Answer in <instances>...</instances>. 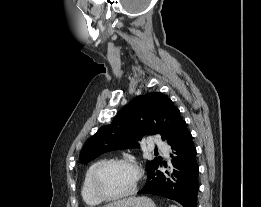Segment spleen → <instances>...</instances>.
I'll return each instance as SVG.
<instances>
[{
  "instance_id": "obj_1",
  "label": "spleen",
  "mask_w": 261,
  "mask_h": 207,
  "mask_svg": "<svg viewBox=\"0 0 261 207\" xmlns=\"http://www.w3.org/2000/svg\"><path fill=\"white\" fill-rule=\"evenodd\" d=\"M169 207H176V206H174V205H171V206H169Z\"/></svg>"
}]
</instances>
